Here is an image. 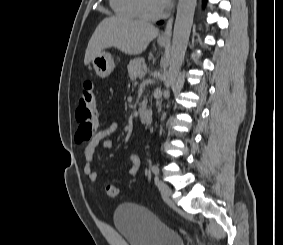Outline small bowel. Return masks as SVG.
I'll list each match as a JSON object with an SVG mask.
<instances>
[{"instance_id": "obj_1", "label": "small bowel", "mask_w": 283, "mask_h": 245, "mask_svg": "<svg viewBox=\"0 0 283 245\" xmlns=\"http://www.w3.org/2000/svg\"><path fill=\"white\" fill-rule=\"evenodd\" d=\"M119 126L118 122H112L105 129L97 132L92 140L82 150V158L84 160L83 173L91 184H97L98 182V175L93 170L92 166L95 150L98 146H101L105 150H110L113 146L110 136L119 129ZM128 161L130 162L129 174L131 176L137 175L141 167V160L139 156L136 154H130L128 156Z\"/></svg>"}]
</instances>
